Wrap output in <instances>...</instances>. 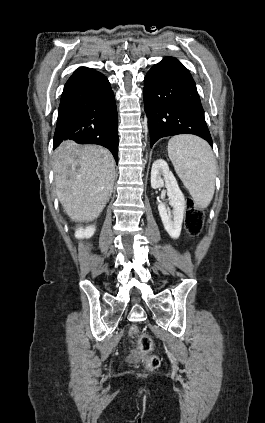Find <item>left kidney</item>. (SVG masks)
Segmentation results:
<instances>
[{
    "mask_svg": "<svg viewBox=\"0 0 265 423\" xmlns=\"http://www.w3.org/2000/svg\"><path fill=\"white\" fill-rule=\"evenodd\" d=\"M164 183L170 199V205L173 207V217L163 203L158 205V211L165 230L171 238L177 239L182 228L186 201L173 173L169 170L167 162L163 159H157L152 165L151 186L157 189L163 187Z\"/></svg>",
    "mask_w": 265,
    "mask_h": 423,
    "instance_id": "left-kidney-1",
    "label": "left kidney"
}]
</instances>
